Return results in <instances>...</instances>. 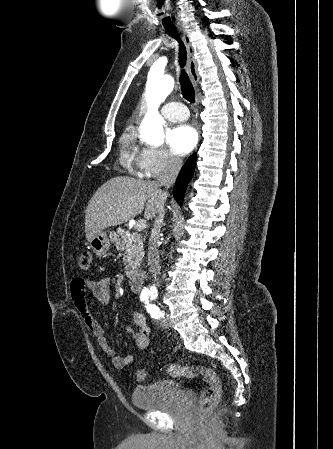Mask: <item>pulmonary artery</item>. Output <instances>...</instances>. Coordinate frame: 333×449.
<instances>
[{"label": "pulmonary artery", "instance_id": "pulmonary-artery-1", "mask_svg": "<svg viewBox=\"0 0 333 449\" xmlns=\"http://www.w3.org/2000/svg\"><path fill=\"white\" fill-rule=\"evenodd\" d=\"M161 114L169 121H182L188 118V109L180 102H168L161 108Z\"/></svg>", "mask_w": 333, "mask_h": 449}]
</instances>
